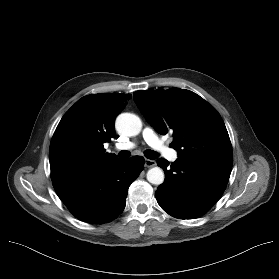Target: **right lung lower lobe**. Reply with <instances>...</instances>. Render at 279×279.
Wrapping results in <instances>:
<instances>
[{
	"label": "right lung lower lobe",
	"mask_w": 279,
	"mask_h": 279,
	"mask_svg": "<svg viewBox=\"0 0 279 279\" xmlns=\"http://www.w3.org/2000/svg\"><path fill=\"white\" fill-rule=\"evenodd\" d=\"M141 156L117 159L80 176L53 183L54 189L70 212L78 219L103 224L124 210L130 184L143 170Z\"/></svg>",
	"instance_id": "right-lung-lower-lobe-1"
}]
</instances>
